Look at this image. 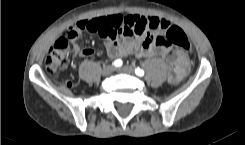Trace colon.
<instances>
[{"mask_svg": "<svg viewBox=\"0 0 245 145\" xmlns=\"http://www.w3.org/2000/svg\"><path fill=\"white\" fill-rule=\"evenodd\" d=\"M88 29L81 28L82 31ZM75 35L76 30L67 29L63 36L53 44L45 61V71L48 74L54 75L64 68L68 57V41ZM147 37H150V35L147 34ZM153 38L157 46L171 45L185 50L192 49L191 41L177 26H171L163 35H155Z\"/></svg>", "mask_w": 245, "mask_h": 145, "instance_id": "5ec220e1", "label": "colon"}]
</instances>
